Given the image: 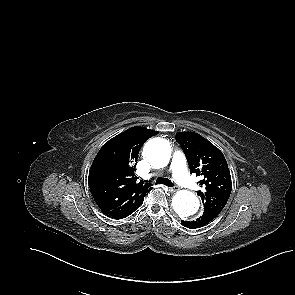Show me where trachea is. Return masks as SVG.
Listing matches in <instances>:
<instances>
[{
  "mask_svg": "<svg viewBox=\"0 0 295 295\" xmlns=\"http://www.w3.org/2000/svg\"><path fill=\"white\" fill-rule=\"evenodd\" d=\"M156 184H163L168 187H172L174 185L170 180H168L166 178H162V177L157 178Z\"/></svg>",
  "mask_w": 295,
  "mask_h": 295,
  "instance_id": "3493384b",
  "label": "trachea"
}]
</instances>
